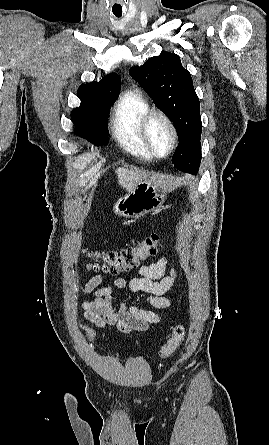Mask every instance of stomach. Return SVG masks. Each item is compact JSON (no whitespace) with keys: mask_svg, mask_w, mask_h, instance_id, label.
Listing matches in <instances>:
<instances>
[{"mask_svg":"<svg viewBox=\"0 0 269 445\" xmlns=\"http://www.w3.org/2000/svg\"><path fill=\"white\" fill-rule=\"evenodd\" d=\"M155 176L144 177L128 194L113 207L115 214L126 218H139L160 209L167 197V188Z\"/></svg>","mask_w":269,"mask_h":445,"instance_id":"obj_1","label":"stomach"}]
</instances>
